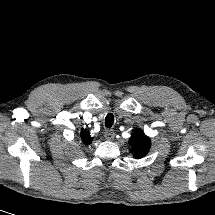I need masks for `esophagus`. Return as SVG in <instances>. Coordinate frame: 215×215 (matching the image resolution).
Masks as SVG:
<instances>
[{
	"mask_svg": "<svg viewBox=\"0 0 215 215\" xmlns=\"http://www.w3.org/2000/svg\"><path fill=\"white\" fill-rule=\"evenodd\" d=\"M104 137L107 140H113L114 137H115V132L113 130H106L105 133H104Z\"/></svg>",
	"mask_w": 215,
	"mask_h": 215,
	"instance_id": "esophagus-1",
	"label": "esophagus"
}]
</instances>
